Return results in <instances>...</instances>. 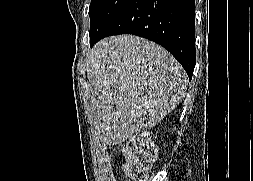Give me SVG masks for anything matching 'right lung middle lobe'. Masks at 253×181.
Segmentation results:
<instances>
[{
  "label": "right lung middle lobe",
  "mask_w": 253,
  "mask_h": 181,
  "mask_svg": "<svg viewBox=\"0 0 253 181\" xmlns=\"http://www.w3.org/2000/svg\"><path fill=\"white\" fill-rule=\"evenodd\" d=\"M131 0H91L90 35L101 33Z\"/></svg>",
  "instance_id": "right-lung-middle-lobe-1"
}]
</instances>
